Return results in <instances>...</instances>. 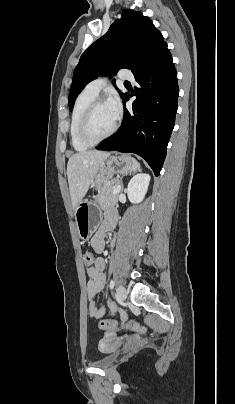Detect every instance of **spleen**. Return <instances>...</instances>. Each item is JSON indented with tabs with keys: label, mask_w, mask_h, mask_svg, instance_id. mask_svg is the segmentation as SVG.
Listing matches in <instances>:
<instances>
[{
	"label": "spleen",
	"mask_w": 235,
	"mask_h": 404,
	"mask_svg": "<svg viewBox=\"0 0 235 404\" xmlns=\"http://www.w3.org/2000/svg\"><path fill=\"white\" fill-rule=\"evenodd\" d=\"M133 164H134V170H136L137 168L138 169L140 168V164L135 159H133Z\"/></svg>",
	"instance_id": "spleen-1"
}]
</instances>
